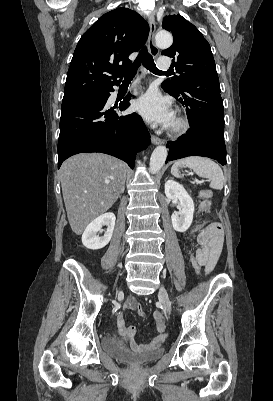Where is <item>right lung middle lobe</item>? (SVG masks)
I'll use <instances>...</instances> for the list:
<instances>
[{"mask_svg": "<svg viewBox=\"0 0 273 401\" xmlns=\"http://www.w3.org/2000/svg\"><path fill=\"white\" fill-rule=\"evenodd\" d=\"M102 94H103V92H92V93H87V94H82V95L63 97L62 108L66 107V106H69V105H71L73 103L82 101V100L100 98V96Z\"/></svg>", "mask_w": 273, "mask_h": 401, "instance_id": "1", "label": "right lung middle lobe"}]
</instances>
